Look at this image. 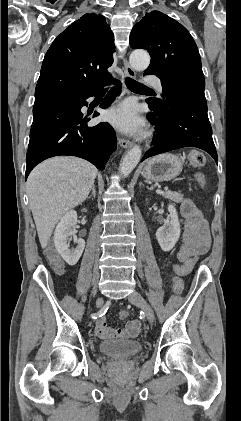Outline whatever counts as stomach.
<instances>
[{"mask_svg": "<svg viewBox=\"0 0 241 421\" xmlns=\"http://www.w3.org/2000/svg\"><path fill=\"white\" fill-rule=\"evenodd\" d=\"M182 166V160L178 156L171 153L161 154L143 164L141 175L149 181H169L181 173Z\"/></svg>", "mask_w": 241, "mask_h": 421, "instance_id": "stomach-1", "label": "stomach"}]
</instances>
